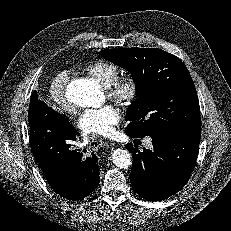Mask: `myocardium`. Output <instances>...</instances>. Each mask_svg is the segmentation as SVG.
<instances>
[{
	"label": "myocardium",
	"mask_w": 231,
	"mask_h": 231,
	"mask_svg": "<svg viewBox=\"0 0 231 231\" xmlns=\"http://www.w3.org/2000/svg\"><path fill=\"white\" fill-rule=\"evenodd\" d=\"M141 92V83L135 76L118 78L111 86L106 88V95L122 108L131 107Z\"/></svg>",
	"instance_id": "f54148a6"
}]
</instances>
